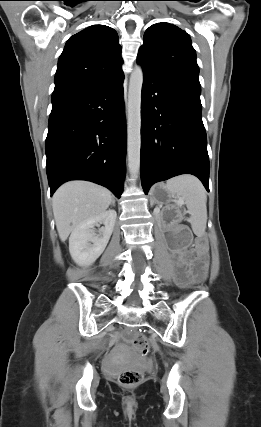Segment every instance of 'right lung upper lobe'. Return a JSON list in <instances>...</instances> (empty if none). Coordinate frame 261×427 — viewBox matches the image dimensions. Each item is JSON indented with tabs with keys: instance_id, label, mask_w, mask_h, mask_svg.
Returning <instances> with one entry per match:
<instances>
[{
	"instance_id": "cb5924a9",
	"label": "right lung upper lobe",
	"mask_w": 261,
	"mask_h": 427,
	"mask_svg": "<svg viewBox=\"0 0 261 427\" xmlns=\"http://www.w3.org/2000/svg\"><path fill=\"white\" fill-rule=\"evenodd\" d=\"M116 31L93 25L71 36L59 57L52 103L106 84L122 71Z\"/></svg>"
}]
</instances>
